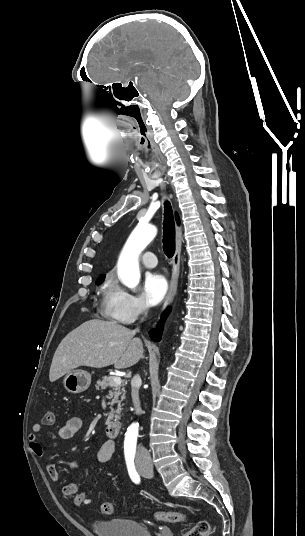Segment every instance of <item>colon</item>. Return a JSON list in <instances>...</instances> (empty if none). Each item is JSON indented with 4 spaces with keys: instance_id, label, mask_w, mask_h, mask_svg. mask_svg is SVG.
Here are the masks:
<instances>
[{
    "instance_id": "1",
    "label": "colon",
    "mask_w": 305,
    "mask_h": 536,
    "mask_svg": "<svg viewBox=\"0 0 305 536\" xmlns=\"http://www.w3.org/2000/svg\"><path fill=\"white\" fill-rule=\"evenodd\" d=\"M54 419V412L48 411L45 416V420L48 423H52ZM87 499V494L83 491L77 493L76 497L72 498L71 503L79 511L84 512L82 506L84 505ZM101 510L105 514H113L114 507L113 503L109 500H105L101 504ZM153 517L157 520L169 522V523H181L187 522L190 520L188 515L177 513V512H165V511H155ZM184 536H211L210 526L204 520H199L194 527H192Z\"/></svg>"
}]
</instances>
